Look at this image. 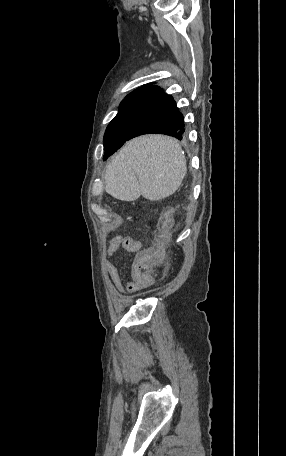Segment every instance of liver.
Segmentation results:
<instances>
[{
	"mask_svg": "<svg viewBox=\"0 0 286 456\" xmlns=\"http://www.w3.org/2000/svg\"><path fill=\"white\" fill-rule=\"evenodd\" d=\"M186 171L178 141L144 135L129 141L113 157L104 176L105 191L122 201H134L141 195L158 201L176 192Z\"/></svg>",
	"mask_w": 286,
	"mask_h": 456,
	"instance_id": "6515ba94",
	"label": "liver"
}]
</instances>
